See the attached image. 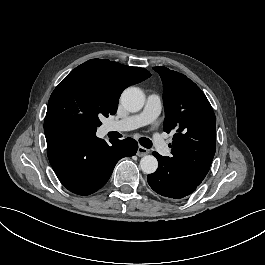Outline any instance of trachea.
<instances>
[{"mask_svg": "<svg viewBox=\"0 0 265 265\" xmlns=\"http://www.w3.org/2000/svg\"><path fill=\"white\" fill-rule=\"evenodd\" d=\"M139 142L142 146H144L145 148H151L152 147V141L148 138L142 137L139 139Z\"/></svg>", "mask_w": 265, "mask_h": 265, "instance_id": "obj_1", "label": "trachea"}]
</instances>
